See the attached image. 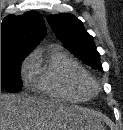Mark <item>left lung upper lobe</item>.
<instances>
[{
	"label": "left lung upper lobe",
	"instance_id": "5c2ea615",
	"mask_svg": "<svg viewBox=\"0 0 123 130\" xmlns=\"http://www.w3.org/2000/svg\"><path fill=\"white\" fill-rule=\"evenodd\" d=\"M58 39L87 65L102 71L100 55L96 50L93 37L85 30L83 23L74 15L61 13L47 17Z\"/></svg>",
	"mask_w": 123,
	"mask_h": 130
}]
</instances>
